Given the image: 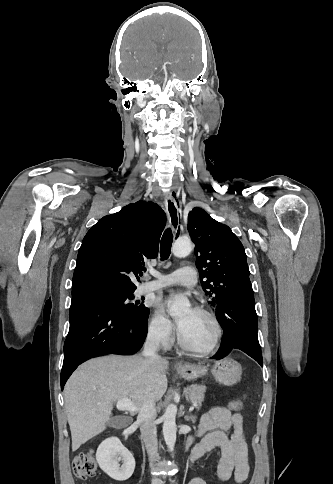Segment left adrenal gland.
<instances>
[{"label": "left adrenal gland", "instance_id": "obj_1", "mask_svg": "<svg viewBox=\"0 0 333 484\" xmlns=\"http://www.w3.org/2000/svg\"><path fill=\"white\" fill-rule=\"evenodd\" d=\"M185 420L186 421H192L194 423L196 421V416H186Z\"/></svg>", "mask_w": 333, "mask_h": 484}]
</instances>
